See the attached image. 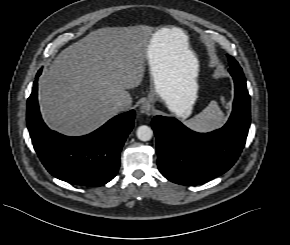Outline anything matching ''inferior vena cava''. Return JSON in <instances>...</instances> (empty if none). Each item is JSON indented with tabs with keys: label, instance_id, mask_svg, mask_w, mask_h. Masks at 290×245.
I'll use <instances>...</instances> for the list:
<instances>
[{
	"label": "inferior vena cava",
	"instance_id": "602c4592",
	"mask_svg": "<svg viewBox=\"0 0 290 245\" xmlns=\"http://www.w3.org/2000/svg\"><path fill=\"white\" fill-rule=\"evenodd\" d=\"M114 108L117 111H123V110H125L127 108V104L122 99H118L114 103Z\"/></svg>",
	"mask_w": 290,
	"mask_h": 245
}]
</instances>
